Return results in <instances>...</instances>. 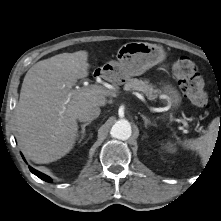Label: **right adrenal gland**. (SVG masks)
<instances>
[{
  "instance_id": "2a0ac1e0",
  "label": "right adrenal gland",
  "mask_w": 221,
  "mask_h": 221,
  "mask_svg": "<svg viewBox=\"0 0 221 221\" xmlns=\"http://www.w3.org/2000/svg\"><path fill=\"white\" fill-rule=\"evenodd\" d=\"M90 124H91V121L81 125V131L79 132V134H77V137L80 136V139L78 141L79 143H81V141L84 139V137L86 135V131H85L86 126H88Z\"/></svg>"
}]
</instances>
